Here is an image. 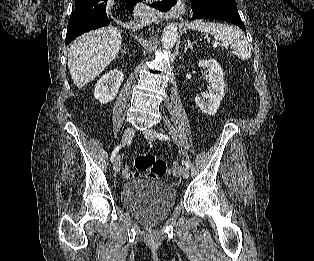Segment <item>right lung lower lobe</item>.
Instances as JSON below:
<instances>
[{
  "mask_svg": "<svg viewBox=\"0 0 314 261\" xmlns=\"http://www.w3.org/2000/svg\"><path fill=\"white\" fill-rule=\"evenodd\" d=\"M108 0H75V10L67 27L65 44L90 30L104 27L110 24L107 17L106 6ZM142 0H128L122 3L120 11L116 16L119 20L132 18L136 3Z\"/></svg>",
  "mask_w": 314,
  "mask_h": 261,
  "instance_id": "obj_1",
  "label": "right lung lower lobe"
}]
</instances>
